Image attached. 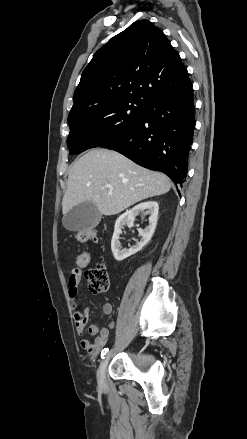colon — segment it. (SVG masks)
Returning <instances> with one entry per match:
<instances>
[{
    "instance_id": "obj_1",
    "label": "colon",
    "mask_w": 247,
    "mask_h": 439,
    "mask_svg": "<svg viewBox=\"0 0 247 439\" xmlns=\"http://www.w3.org/2000/svg\"><path fill=\"white\" fill-rule=\"evenodd\" d=\"M76 240L80 244H86L97 240V233L94 229L81 230L76 234ZM90 263V254L86 251L81 252L76 257V265L80 269L86 268ZM88 287L93 293H101L108 289L109 278L104 266L98 265L86 271Z\"/></svg>"
}]
</instances>
